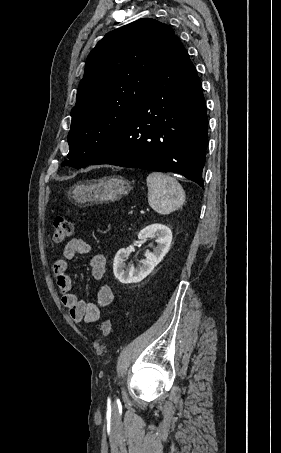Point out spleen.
I'll list each match as a JSON object with an SVG mask.
<instances>
[{
    "instance_id": "obj_1",
    "label": "spleen",
    "mask_w": 281,
    "mask_h": 453,
    "mask_svg": "<svg viewBox=\"0 0 281 453\" xmlns=\"http://www.w3.org/2000/svg\"><path fill=\"white\" fill-rule=\"evenodd\" d=\"M148 202L156 212L169 214L180 208L185 202L181 196L182 188L176 178L164 172H150L147 176Z\"/></svg>"
}]
</instances>
